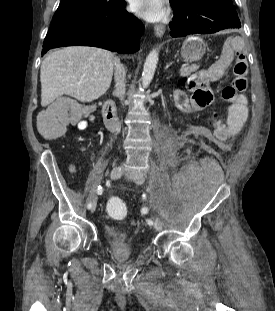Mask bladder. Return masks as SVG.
I'll list each match as a JSON object with an SVG mask.
<instances>
[{
	"instance_id": "bladder-1",
	"label": "bladder",
	"mask_w": 275,
	"mask_h": 311,
	"mask_svg": "<svg viewBox=\"0 0 275 311\" xmlns=\"http://www.w3.org/2000/svg\"><path fill=\"white\" fill-rule=\"evenodd\" d=\"M107 234L115 243H132V234L126 230H115L109 228L107 230Z\"/></svg>"
}]
</instances>
